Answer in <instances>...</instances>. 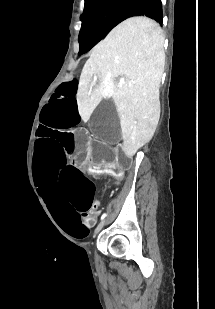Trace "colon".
Returning <instances> with one entry per match:
<instances>
[{"label":"colon","mask_w":215,"mask_h":309,"mask_svg":"<svg viewBox=\"0 0 215 309\" xmlns=\"http://www.w3.org/2000/svg\"><path fill=\"white\" fill-rule=\"evenodd\" d=\"M93 162L97 164L100 169L107 171L116 180H120L122 178L123 170L120 164L109 161L106 165H104L100 160H94Z\"/></svg>","instance_id":"5ec220e1"}]
</instances>
